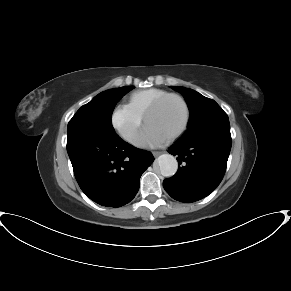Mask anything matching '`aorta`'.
I'll return each mask as SVG.
<instances>
[{
	"mask_svg": "<svg viewBox=\"0 0 291 291\" xmlns=\"http://www.w3.org/2000/svg\"><path fill=\"white\" fill-rule=\"evenodd\" d=\"M160 172L165 177L173 176L178 169V162L171 154H162L157 159Z\"/></svg>",
	"mask_w": 291,
	"mask_h": 291,
	"instance_id": "obj_1",
	"label": "aorta"
}]
</instances>
